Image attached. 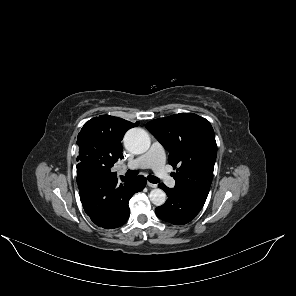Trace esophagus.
I'll use <instances>...</instances> for the list:
<instances>
[{
  "label": "esophagus",
  "instance_id": "obj_1",
  "mask_svg": "<svg viewBox=\"0 0 296 296\" xmlns=\"http://www.w3.org/2000/svg\"><path fill=\"white\" fill-rule=\"evenodd\" d=\"M147 185L151 188H157V184H153L151 182H147Z\"/></svg>",
  "mask_w": 296,
  "mask_h": 296
}]
</instances>
